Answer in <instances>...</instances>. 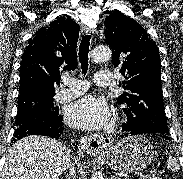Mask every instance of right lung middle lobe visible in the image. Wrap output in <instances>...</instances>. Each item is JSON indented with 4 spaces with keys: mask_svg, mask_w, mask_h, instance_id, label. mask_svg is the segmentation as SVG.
<instances>
[{
    "mask_svg": "<svg viewBox=\"0 0 183 179\" xmlns=\"http://www.w3.org/2000/svg\"><path fill=\"white\" fill-rule=\"evenodd\" d=\"M55 94H32L18 98L16 127L30 119H51L59 115L58 107H54Z\"/></svg>",
    "mask_w": 183,
    "mask_h": 179,
    "instance_id": "dd1d6c3e",
    "label": "right lung middle lobe"
}]
</instances>
